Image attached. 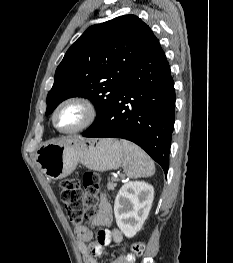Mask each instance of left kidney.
I'll use <instances>...</instances> for the list:
<instances>
[{"label": "left kidney", "mask_w": 233, "mask_h": 263, "mask_svg": "<svg viewBox=\"0 0 233 263\" xmlns=\"http://www.w3.org/2000/svg\"><path fill=\"white\" fill-rule=\"evenodd\" d=\"M154 199V188L143 181H129L119 190L114 203L116 223L132 238L142 229Z\"/></svg>", "instance_id": "1"}]
</instances>
